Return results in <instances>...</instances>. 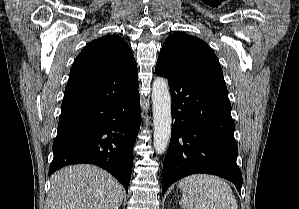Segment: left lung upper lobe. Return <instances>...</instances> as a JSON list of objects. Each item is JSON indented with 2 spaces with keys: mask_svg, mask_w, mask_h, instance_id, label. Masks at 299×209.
I'll list each match as a JSON object with an SVG mask.
<instances>
[{
  "mask_svg": "<svg viewBox=\"0 0 299 209\" xmlns=\"http://www.w3.org/2000/svg\"><path fill=\"white\" fill-rule=\"evenodd\" d=\"M156 69L172 75L224 79L218 58L209 45L182 32H175L166 39Z\"/></svg>",
  "mask_w": 299,
  "mask_h": 209,
  "instance_id": "5c2ea615",
  "label": "left lung upper lobe"
}]
</instances>
